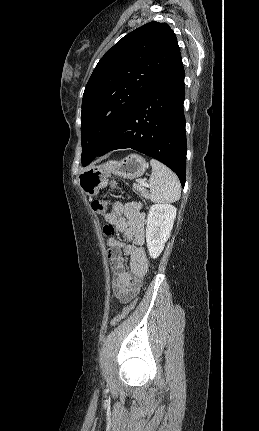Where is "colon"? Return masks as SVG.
Returning <instances> with one entry per match:
<instances>
[{
  "mask_svg": "<svg viewBox=\"0 0 259 431\" xmlns=\"http://www.w3.org/2000/svg\"><path fill=\"white\" fill-rule=\"evenodd\" d=\"M108 203L103 200H95L92 202V209L103 217V214L107 211ZM103 233L105 236H111L114 233V228L112 224H106L103 227ZM137 300H131L120 313H118L111 321V326H117L121 321H123L129 313L134 309Z\"/></svg>",
  "mask_w": 259,
  "mask_h": 431,
  "instance_id": "obj_1",
  "label": "colon"
}]
</instances>
